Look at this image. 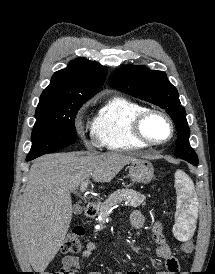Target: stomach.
<instances>
[{"label": "stomach", "instance_id": "1", "mask_svg": "<svg viewBox=\"0 0 215 274\" xmlns=\"http://www.w3.org/2000/svg\"><path fill=\"white\" fill-rule=\"evenodd\" d=\"M128 168L129 176L135 183L148 184L154 177L153 165L148 160L134 159Z\"/></svg>", "mask_w": 215, "mask_h": 274}]
</instances>
